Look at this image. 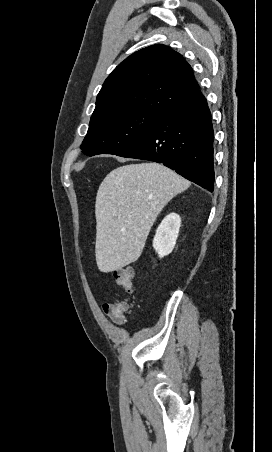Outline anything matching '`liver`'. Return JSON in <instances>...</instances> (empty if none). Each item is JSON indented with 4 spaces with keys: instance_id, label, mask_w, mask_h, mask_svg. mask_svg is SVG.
Returning a JSON list of instances; mask_svg holds the SVG:
<instances>
[{
    "instance_id": "6515ba94",
    "label": "liver",
    "mask_w": 272,
    "mask_h": 452,
    "mask_svg": "<svg viewBox=\"0 0 272 452\" xmlns=\"http://www.w3.org/2000/svg\"><path fill=\"white\" fill-rule=\"evenodd\" d=\"M190 182L158 163L120 166L102 181L95 203L98 269L119 270L140 257L157 216Z\"/></svg>"
}]
</instances>
